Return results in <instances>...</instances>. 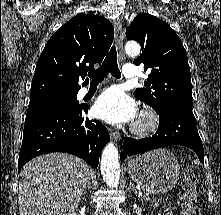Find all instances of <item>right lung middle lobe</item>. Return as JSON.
Returning <instances> with one entry per match:
<instances>
[{"label": "right lung middle lobe", "instance_id": "1", "mask_svg": "<svg viewBox=\"0 0 221 215\" xmlns=\"http://www.w3.org/2000/svg\"><path fill=\"white\" fill-rule=\"evenodd\" d=\"M77 93L60 94L44 97L41 99L30 101L27 112H32L41 109L60 107V108H73L78 107L76 99Z\"/></svg>", "mask_w": 221, "mask_h": 215}]
</instances>
